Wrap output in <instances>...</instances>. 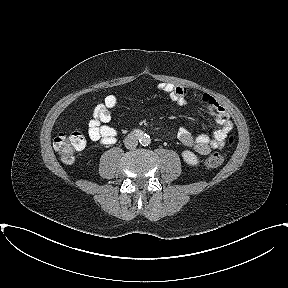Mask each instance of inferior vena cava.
I'll return each mask as SVG.
<instances>
[{"label": "inferior vena cava", "mask_w": 288, "mask_h": 288, "mask_svg": "<svg viewBox=\"0 0 288 288\" xmlns=\"http://www.w3.org/2000/svg\"><path fill=\"white\" fill-rule=\"evenodd\" d=\"M125 147L127 149H134L138 145V139L134 135H128L124 140Z\"/></svg>", "instance_id": "1"}]
</instances>
